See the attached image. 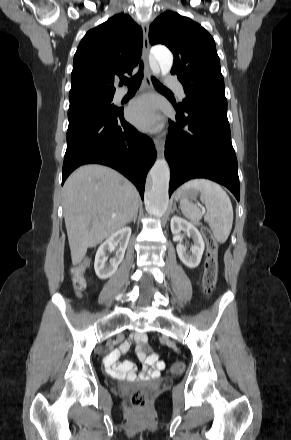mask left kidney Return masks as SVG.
Wrapping results in <instances>:
<instances>
[{
    "instance_id": "5707ae66",
    "label": "left kidney",
    "mask_w": 291,
    "mask_h": 440,
    "mask_svg": "<svg viewBox=\"0 0 291 440\" xmlns=\"http://www.w3.org/2000/svg\"><path fill=\"white\" fill-rule=\"evenodd\" d=\"M171 231L173 234H179L181 231L187 233L189 238H192L193 245L190 248V252L187 251L186 247L179 243L177 245V254L184 265L189 268H195L199 265L205 244L199 230L187 220L173 216L171 219Z\"/></svg>"
}]
</instances>
